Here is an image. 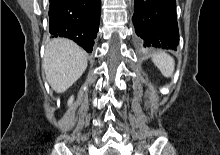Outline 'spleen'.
Returning <instances> with one entry per match:
<instances>
[{"label": "spleen", "mask_w": 220, "mask_h": 155, "mask_svg": "<svg viewBox=\"0 0 220 155\" xmlns=\"http://www.w3.org/2000/svg\"><path fill=\"white\" fill-rule=\"evenodd\" d=\"M152 61L159 68L163 76L169 78L173 75L175 62L170 55L160 52L152 56Z\"/></svg>", "instance_id": "spleen-1"}]
</instances>
